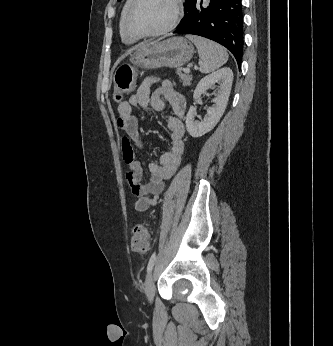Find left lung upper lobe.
<instances>
[{
    "instance_id": "5c2ea615",
    "label": "left lung upper lobe",
    "mask_w": 333,
    "mask_h": 346,
    "mask_svg": "<svg viewBox=\"0 0 333 346\" xmlns=\"http://www.w3.org/2000/svg\"><path fill=\"white\" fill-rule=\"evenodd\" d=\"M118 1H121V0H118ZM189 1H190V0H185V2H186V5H187V4L189 3Z\"/></svg>"
}]
</instances>
